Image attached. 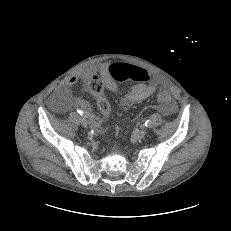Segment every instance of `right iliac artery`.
Masks as SVG:
<instances>
[{"mask_svg":"<svg viewBox=\"0 0 231 231\" xmlns=\"http://www.w3.org/2000/svg\"><path fill=\"white\" fill-rule=\"evenodd\" d=\"M77 112L83 116V117H87V114L82 110V109H77Z\"/></svg>","mask_w":231,"mask_h":231,"instance_id":"right-iliac-artery-1","label":"right iliac artery"}]
</instances>
